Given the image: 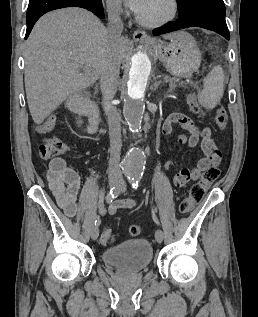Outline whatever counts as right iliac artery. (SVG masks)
I'll use <instances>...</instances> for the list:
<instances>
[{"label":"right iliac artery","mask_w":258,"mask_h":317,"mask_svg":"<svg viewBox=\"0 0 258 317\" xmlns=\"http://www.w3.org/2000/svg\"><path fill=\"white\" fill-rule=\"evenodd\" d=\"M120 194V190L117 187H113L110 189V191L108 192L107 196H106V202L108 204L112 203L113 200L118 197V195ZM101 223L100 219L98 218L97 220H95V226H99Z\"/></svg>","instance_id":"obj_1"}]
</instances>
